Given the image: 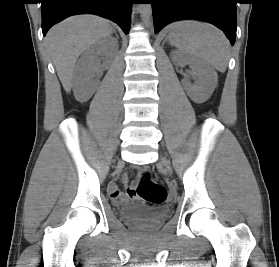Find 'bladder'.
Wrapping results in <instances>:
<instances>
[{
  "label": "bladder",
  "instance_id": "1",
  "mask_svg": "<svg viewBox=\"0 0 279 267\" xmlns=\"http://www.w3.org/2000/svg\"><path fill=\"white\" fill-rule=\"evenodd\" d=\"M122 215L130 222L133 223H155L159 220L163 219L166 215L164 213H160L152 216L151 218H147L145 214L142 212H138L129 208H125L122 210Z\"/></svg>",
  "mask_w": 279,
  "mask_h": 267
}]
</instances>
